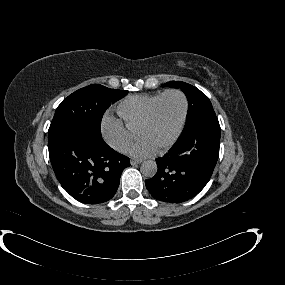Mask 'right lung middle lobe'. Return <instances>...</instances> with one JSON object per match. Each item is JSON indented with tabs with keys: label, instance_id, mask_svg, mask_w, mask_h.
Segmentation results:
<instances>
[{
	"label": "right lung middle lobe",
	"instance_id": "1",
	"mask_svg": "<svg viewBox=\"0 0 285 285\" xmlns=\"http://www.w3.org/2000/svg\"><path fill=\"white\" fill-rule=\"evenodd\" d=\"M128 91L99 84L81 88L65 98L56 109L48 130V143L70 130H84L101 136V120L106 109Z\"/></svg>",
	"mask_w": 285,
	"mask_h": 285
}]
</instances>
